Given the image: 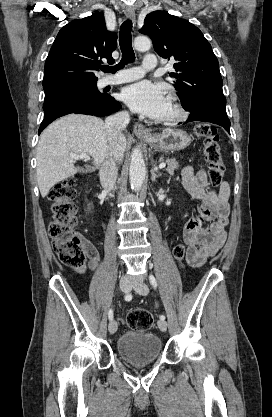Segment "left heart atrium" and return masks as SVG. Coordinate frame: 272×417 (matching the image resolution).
<instances>
[{
    "label": "left heart atrium",
    "mask_w": 272,
    "mask_h": 417,
    "mask_svg": "<svg viewBox=\"0 0 272 417\" xmlns=\"http://www.w3.org/2000/svg\"><path fill=\"white\" fill-rule=\"evenodd\" d=\"M121 98L133 111L150 118H161L168 104L164 87L150 81L127 86Z\"/></svg>",
    "instance_id": "1"
}]
</instances>
